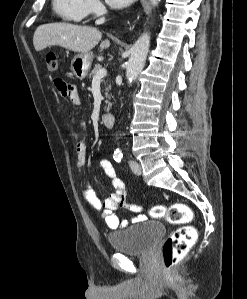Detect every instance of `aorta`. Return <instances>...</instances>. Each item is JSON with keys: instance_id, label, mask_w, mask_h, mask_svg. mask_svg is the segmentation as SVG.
<instances>
[{"instance_id": "obj_1", "label": "aorta", "mask_w": 247, "mask_h": 299, "mask_svg": "<svg viewBox=\"0 0 247 299\" xmlns=\"http://www.w3.org/2000/svg\"><path fill=\"white\" fill-rule=\"evenodd\" d=\"M156 6L160 0H150ZM150 46V36L143 33L130 50V57L126 67V78L132 84L143 70Z\"/></svg>"}]
</instances>
